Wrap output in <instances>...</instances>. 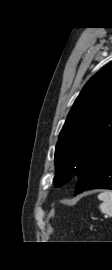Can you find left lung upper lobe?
I'll list each match as a JSON object with an SVG mask.
<instances>
[{"mask_svg": "<svg viewBox=\"0 0 112 270\" xmlns=\"http://www.w3.org/2000/svg\"><path fill=\"white\" fill-rule=\"evenodd\" d=\"M112 147V62L90 78L74 102L55 150L61 186L72 175L81 180Z\"/></svg>", "mask_w": 112, "mask_h": 270, "instance_id": "1", "label": "left lung upper lobe"}]
</instances>
